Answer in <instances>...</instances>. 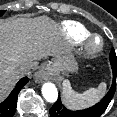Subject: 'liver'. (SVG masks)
Wrapping results in <instances>:
<instances>
[{"instance_id":"obj_1","label":"liver","mask_w":117,"mask_h":117,"mask_svg":"<svg viewBox=\"0 0 117 117\" xmlns=\"http://www.w3.org/2000/svg\"><path fill=\"white\" fill-rule=\"evenodd\" d=\"M68 51L58 25L48 17L1 20L0 102L24 75L21 66L36 67L38 60Z\"/></svg>"}]
</instances>
